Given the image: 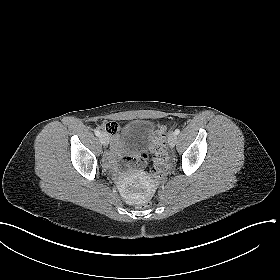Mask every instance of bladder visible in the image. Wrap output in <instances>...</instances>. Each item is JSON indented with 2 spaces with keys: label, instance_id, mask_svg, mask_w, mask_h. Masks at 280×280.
<instances>
[{
  "label": "bladder",
  "instance_id": "obj_1",
  "mask_svg": "<svg viewBox=\"0 0 280 280\" xmlns=\"http://www.w3.org/2000/svg\"><path fill=\"white\" fill-rule=\"evenodd\" d=\"M154 124L149 120L126 123L117 136V146L122 149L146 151L152 145Z\"/></svg>",
  "mask_w": 280,
  "mask_h": 280
}]
</instances>
